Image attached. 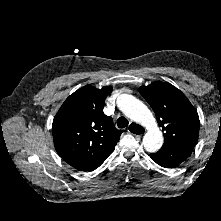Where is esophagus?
Masks as SVG:
<instances>
[{"label":"esophagus","instance_id":"esophagus-1","mask_svg":"<svg viewBox=\"0 0 221 221\" xmlns=\"http://www.w3.org/2000/svg\"><path fill=\"white\" fill-rule=\"evenodd\" d=\"M128 132L135 136H142L145 133V129L142 126L132 122L128 128Z\"/></svg>","mask_w":221,"mask_h":221}]
</instances>
